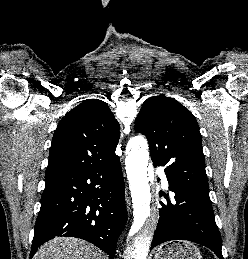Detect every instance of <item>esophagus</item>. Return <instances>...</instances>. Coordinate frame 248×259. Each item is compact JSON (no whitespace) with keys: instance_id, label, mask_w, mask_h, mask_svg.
Instances as JSON below:
<instances>
[{"instance_id":"obj_1","label":"esophagus","mask_w":248,"mask_h":259,"mask_svg":"<svg viewBox=\"0 0 248 259\" xmlns=\"http://www.w3.org/2000/svg\"><path fill=\"white\" fill-rule=\"evenodd\" d=\"M126 203H127V207H128V209H129L130 200H129V197H128L127 192H126Z\"/></svg>"}]
</instances>
